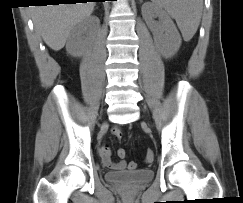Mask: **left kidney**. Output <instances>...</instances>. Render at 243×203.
Instances as JSON below:
<instances>
[{"label":"left kidney","mask_w":243,"mask_h":203,"mask_svg":"<svg viewBox=\"0 0 243 203\" xmlns=\"http://www.w3.org/2000/svg\"><path fill=\"white\" fill-rule=\"evenodd\" d=\"M142 16L153 32L158 52L165 58L173 57L181 46V37L170 16L153 3H145L142 6ZM155 17L160 21L155 22Z\"/></svg>","instance_id":"5707ae66"}]
</instances>
